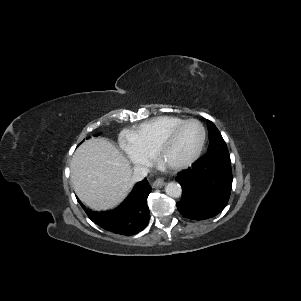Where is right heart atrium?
Segmentation results:
<instances>
[{
  "instance_id": "right-heart-atrium-1",
  "label": "right heart atrium",
  "mask_w": 301,
  "mask_h": 301,
  "mask_svg": "<svg viewBox=\"0 0 301 301\" xmlns=\"http://www.w3.org/2000/svg\"><path fill=\"white\" fill-rule=\"evenodd\" d=\"M119 144L132 164L136 166H147L151 163L152 154L139 148L127 135L120 138Z\"/></svg>"
}]
</instances>
